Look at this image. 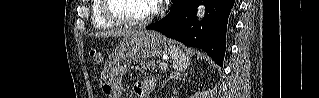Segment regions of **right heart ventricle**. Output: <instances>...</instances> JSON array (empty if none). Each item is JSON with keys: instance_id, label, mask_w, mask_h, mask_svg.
<instances>
[{"instance_id": "right-heart-ventricle-1", "label": "right heart ventricle", "mask_w": 319, "mask_h": 98, "mask_svg": "<svg viewBox=\"0 0 319 98\" xmlns=\"http://www.w3.org/2000/svg\"><path fill=\"white\" fill-rule=\"evenodd\" d=\"M103 0H94L91 5V20L92 25L97 30H104L113 27L114 25L105 19L103 12Z\"/></svg>"}]
</instances>
